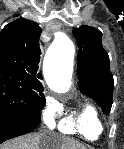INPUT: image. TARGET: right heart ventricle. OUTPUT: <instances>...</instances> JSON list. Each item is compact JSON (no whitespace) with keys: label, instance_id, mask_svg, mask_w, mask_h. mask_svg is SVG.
Instances as JSON below:
<instances>
[{"label":"right heart ventricle","instance_id":"e07e8e85","mask_svg":"<svg viewBox=\"0 0 124 149\" xmlns=\"http://www.w3.org/2000/svg\"><path fill=\"white\" fill-rule=\"evenodd\" d=\"M59 130L65 134H78L88 141H95L103 134L104 122L98 110L86 104L77 113L67 116L59 124Z\"/></svg>","mask_w":124,"mask_h":149}]
</instances>
